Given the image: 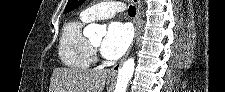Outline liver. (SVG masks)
Here are the masks:
<instances>
[{"instance_id": "liver-1", "label": "liver", "mask_w": 225, "mask_h": 92, "mask_svg": "<svg viewBox=\"0 0 225 92\" xmlns=\"http://www.w3.org/2000/svg\"><path fill=\"white\" fill-rule=\"evenodd\" d=\"M107 78L106 70L55 68L49 92H103Z\"/></svg>"}]
</instances>
